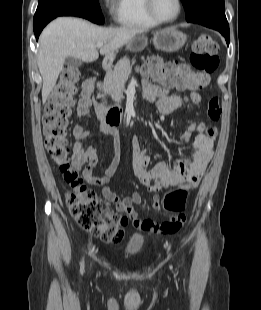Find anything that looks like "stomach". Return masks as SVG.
Listing matches in <instances>:
<instances>
[{"mask_svg": "<svg viewBox=\"0 0 261 310\" xmlns=\"http://www.w3.org/2000/svg\"><path fill=\"white\" fill-rule=\"evenodd\" d=\"M186 40L187 36L184 33L169 27L154 34L153 44L159 50L173 52L183 47ZM147 42V37L139 34L127 43V49L133 52L141 51L146 47Z\"/></svg>", "mask_w": 261, "mask_h": 310, "instance_id": "0dacf381", "label": "stomach"}]
</instances>
